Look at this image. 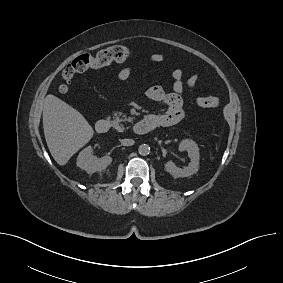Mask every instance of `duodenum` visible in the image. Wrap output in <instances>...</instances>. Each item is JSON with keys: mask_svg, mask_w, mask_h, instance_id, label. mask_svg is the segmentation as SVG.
<instances>
[{"mask_svg": "<svg viewBox=\"0 0 283 283\" xmlns=\"http://www.w3.org/2000/svg\"><path fill=\"white\" fill-rule=\"evenodd\" d=\"M111 123L109 120L100 119L95 124V129L99 134H105L110 130ZM156 128V124L150 118H144L134 125V132L138 135H143L151 132Z\"/></svg>", "mask_w": 283, "mask_h": 283, "instance_id": "duodenum-1", "label": "duodenum"}]
</instances>
